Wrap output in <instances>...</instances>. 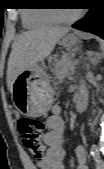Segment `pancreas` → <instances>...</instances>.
I'll return each mask as SVG.
<instances>
[{"instance_id": "1", "label": "pancreas", "mask_w": 104, "mask_h": 169, "mask_svg": "<svg viewBox=\"0 0 104 169\" xmlns=\"http://www.w3.org/2000/svg\"><path fill=\"white\" fill-rule=\"evenodd\" d=\"M60 64L62 66L55 71V76L59 80L66 78L75 71V62L68 55L62 57Z\"/></svg>"}]
</instances>
